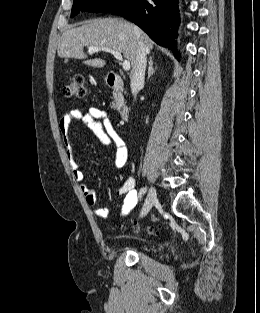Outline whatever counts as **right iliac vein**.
<instances>
[{
    "label": "right iliac vein",
    "instance_id": "1",
    "mask_svg": "<svg viewBox=\"0 0 260 313\" xmlns=\"http://www.w3.org/2000/svg\"><path fill=\"white\" fill-rule=\"evenodd\" d=\"M156 203H158L156 189L154 187H151L146 197L145 203L142 207L140 217H144L145 215H147L153 205Z\"/></svg>",
    "mask_w": 260,
    "mask_h": 313
}]
</instances>
